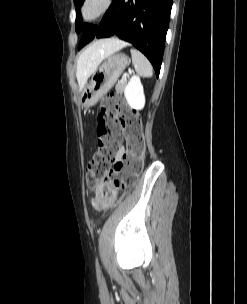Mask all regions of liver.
Wrapping results in <instances>:
<instances>
[{"label":"liver","instance_id":"liver-1","mask_svg":"<svg viewBox=\"0 0 247 304\" xmlns=\"http://www.w3.org/2000/svg\"><path fill=\"white\" fill-rule=\"evenodd\" d=\"M127 44L116 38L98 40L84 49L77 59L76 77L79 88L83 89L87 79L96 71L100 63L108 56Z\"/></svg>","mask_w":247,"mask_h":304}]
</instances>
